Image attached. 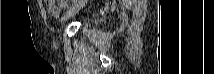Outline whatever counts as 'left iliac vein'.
<instances>
[{
	"label": "left iliac vein",
	"mask_w": 214,
	"mask_h": 74,
	"mask_svg": "<svg viewBox=\"0 0 214 74\" xmlns=\"http://www.w3.org/2000/svg\"><path fill=\"white\" fill-rule=\"evenodd\" d=\"M86 1H78L75 5H73L69 10H67L66 14L64 15L62 21L65 22L73 15H75L84 5Z\"/></svg>",
	"instance_id": "1"
}]
</instances>
